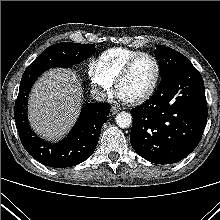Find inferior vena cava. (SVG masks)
<instances>
[{"label": "inferior vena cava", "instance_id": "1", "mask_svg": "<svg viewBox=\"0 0 220 220\" xmlns=\"http://www.w3.org/2000/svg\"><path fill=\"white\" fill-rule=\"evenodd\" d=\"M91 93H92L94 99L97 101L102 102V101H105V99H106V93L103 90H99V89L95 88L91 91Z\"/></svg>", "mask_w": 220, "mask_h": 220}]
</instances>
